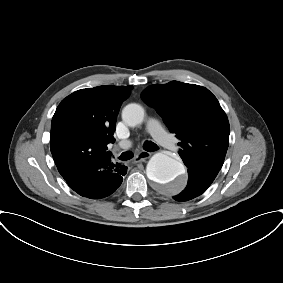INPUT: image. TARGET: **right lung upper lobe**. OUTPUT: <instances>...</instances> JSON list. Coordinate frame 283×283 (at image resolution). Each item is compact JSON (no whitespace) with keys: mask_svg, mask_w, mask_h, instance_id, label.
<instances>
[{"mask_svg":"<svg viewBox=\"0 0 283 283\" xmlns=\"http://www.w3.org/2000/svg\"><path fill=\"white\" fill-rule=\"evenodd\" d=\"M131 86H99L78 90L61 101L51 123V153L65 179L75 170L110 157L122 102Z\"/></svg>","mask_w":283,"mask_h":283,"instance_id":"right-lung-upper-lobe-1","label":"right lung upper lobe"}]
</instances>
